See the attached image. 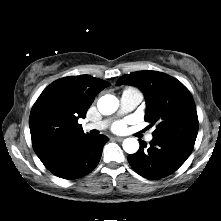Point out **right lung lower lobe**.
<instances>
[{"label":"right lung lower lobe","mask_w":221,"mask_h":221,"mask_svg":"<svg viewBox=\"0 0 221 221\" xmlns=\"http://www.w3.org/2000/svg\"><path fill=\"white\" fill-rule=\"evenodd\" d=\"M108 140L104 135H85L69 144L55 160L45 166L60 178L72 180L83 177L97 166Z\"/></svg>","instance_id":"98d812e1"}]
</instances>
